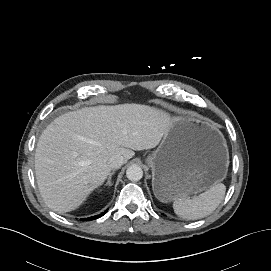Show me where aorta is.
<instances>
[{
  "instance_id": "1",
  "label": "aorta",
  "mask_w": 271,
  "mask_h": 271,
  "mask_svg": "<svg viewBox=\"0 0 271 271\" xmlns=\"http://www.w3.org/2000/svg\"><path fill=\"white\" fill-rule=\"evenodd\" d=\"M126 176L130 181H139L143 177V170L139 165H130L126 170Z\"/></svg>"
}]
</instances>
